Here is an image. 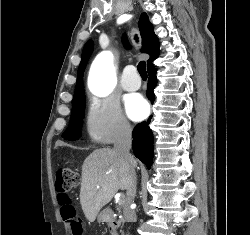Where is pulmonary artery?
<instances>
[{"label": "pulmonary artery", "instance_id": "e3ab8cb5", "mask_svg": "<svg viewBox=\"0 0 250 235\" xmlns=\"http://www.w3.org/2000/svg\"><path fill=\"white\" fill-rule=\"evenodd\" d=\"M141 85V80L134 72V67L129 65L124 70L121 78V86L126 91H135Z\"/></svg>", "mask_w": 250, "mask_h": 235}]
</instances>
